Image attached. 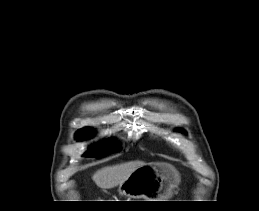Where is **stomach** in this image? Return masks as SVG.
I'll return each instance as SVG.
<instances>
[{
    "instance_id": "obj_1",
    "label": "stomach",
    "mask_w": 259,
    "mask_h": 211,
    "mask_svg": "<svg viewBox=\"0 0 259 211\" xmlns=\"http://www.w3.org/2000/svg\"><path fill=\"white\" fill-rule=\"evenodd\" d=\"M178 184L175 170L166 163H149L137 168L118 187V194L146 201L168 199Z\"/></svg>"
}]
</instances>
